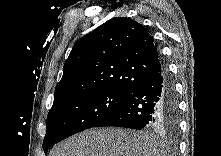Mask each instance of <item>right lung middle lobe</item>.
Listing matches in <instances>:
<instances>
[{
    "label": "right lung middle lobe",
    "mask_w": 221,
    "mask_h": 156,
    "mask_svg": "<svg viewBox=\"0 0 221 156\" xmlns=\"http://www.w3.org/2000/svg\"><path fill=\"white\" fill-rule=\"evenodd\" d=\"M129 96L127 93L102 91L53 105L47 116V132L42 145L44 152L75 133L97 126L124 104Z\"/></svg>",
    "instance_id": "obj_1"
}]
</instances>
